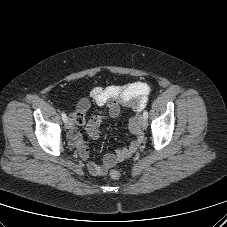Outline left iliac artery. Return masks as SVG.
Wrapping results in <instances>:
<instances>
[{
    "label": "left iliac artery",
    "mask_w": 227,
    "mask_h": 227,
    "mask_svg": "<svg viewBox=\"0 0 227 227\" xmlns=\"http://www.w3.org/2000/svg\"><path fill=\"white\" fill-rule=\"evenodd\" d=\"M143 117H144L145 119L148 118V112H147V110H145V111L143 112Z\"/></svg>",
    "instance_id": "left-iliac-artery-1"
}]
</instances>
